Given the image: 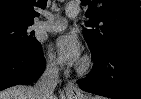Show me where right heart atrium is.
<instances>
[{
  "label": "right heart atrium",
  "mask_w": 141,
  "mask_h": 99,
  "mask_svg": "<svg viewBox=\"0 0 141 99\" xmlns=\"http://www.w3.org/2000/svg\"><path fill=\"white\" fill-rule=\"evenodd\" d=\"M45 68L50 74H56L59 71V62L51 53L46 56Z\"/></svg>",
  "instance_id": "1"
}]
</instances>
